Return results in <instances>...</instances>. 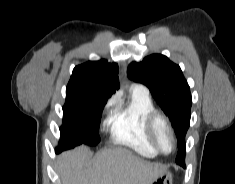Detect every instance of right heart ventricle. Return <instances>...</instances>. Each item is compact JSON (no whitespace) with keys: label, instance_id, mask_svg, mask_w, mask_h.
Masks as SVG:
<instances>
[{"label":"right heart ventricle","instance_id":"obj_1","mask_svg":"<svg viewBox=\"0 0 235 184\" xmlns=\"http://www.w3.org/2000/svg\"><path fill=\"white\" fill-rule=\"evenodd\" d=\"M155 111L156 108L149 96L135 92L127 104L113 110L110 123L111 140L123 148L109 152L111 159L124 160L130 153L145 157L158 155L146 128L148 117Z\"/></svg>","mask_w":235,"mask_h":184}]
</instances>
